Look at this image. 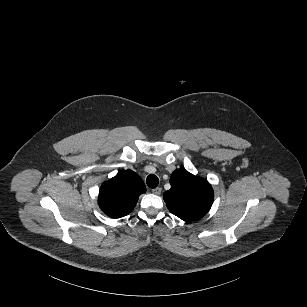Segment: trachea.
Wrapping results in <instances>:
<instances>
[{
  "label": "trachea",
  "mask_w": 307,
  "mask_h": 307,
  "mask_svg": "<svg viewBox=\"0 0 307 307\" xmlns=\"http://www.w3.org/2000/svg\"><path fill=\"white\" fill-rule=\"evenodd\" d=\"M146 183L147 185L154 189L158 186L159 184V179L157 176L153 175V174H150L147 178H146Z\"/></svg>",
  "instance_id": "trachea-1"
}]
</instances>
